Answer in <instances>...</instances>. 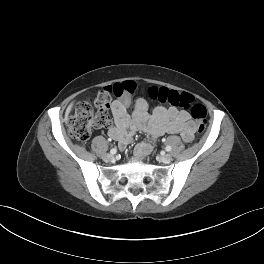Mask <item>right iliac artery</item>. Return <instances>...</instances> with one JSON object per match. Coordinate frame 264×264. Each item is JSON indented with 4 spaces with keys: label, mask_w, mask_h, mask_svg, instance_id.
I'll use <instances>...</instances> for the list:
<instances>
[{
    "label": "right iliac artery",
    "mask_w": 264,
    "mask_h": 264,
    "mask_svg": "<svg viewBox=\"0 0 264 264\" xmlns=\"http://www.w3.org/2000/svg\"><path fill=\"white\" fill-rule=\"evenodd\" d=\"M117 152V149L116 148H112L111 150H110V153L111 154H115Z\"/></svg>",
    "instance_id": "right-iliac-artery-1"
}]
</instances>
